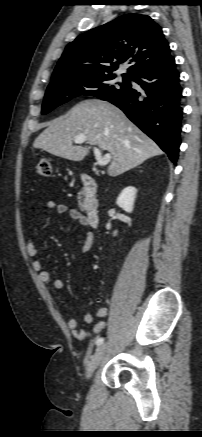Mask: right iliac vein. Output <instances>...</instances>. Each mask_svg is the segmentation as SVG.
Returning <instances> with one entry per match:
<instances>
[{"mask_svg":"<svg viewBox=\"0 0 202 437\" xmlns=\"http://www.w3.org/2000/svg\"><path fill=\"white\" fill-rule=\"evenodd\" d=\"M106 352V344L100 345L94 355L91 358L90 361V365H89V370H88V377H91V375L93 374V372L95 371V369L100 365V363L102 362L104 355Z\"/></svg>","mask_w":202,"mask_h":437,"instance_id":"63e3f726","label":"right iliac vein"}]
</instances>
